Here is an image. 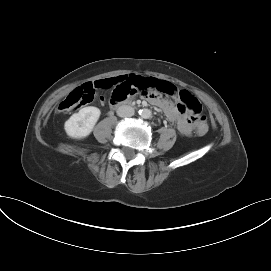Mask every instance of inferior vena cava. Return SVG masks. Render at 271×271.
Masks as SVG:
<instances>
[{
  "label": "inferior vena cava",
  "instance_id": "602c4592",
  "mask_svg": "<svg viewBox=\"0 0 271 271\" xmlns=\"http://www.w3.org/2000/svg\"><path fill=\"white\" fill-rule=\"evenodd\" d=\"M117 115L120 117H131L134 115V109L128 105H122L117 109Z\"/></svg>",
  "mask_w": 271,
  "mask_h": 271
}]
</instances>
